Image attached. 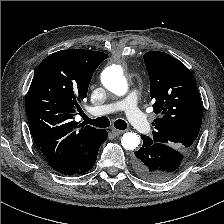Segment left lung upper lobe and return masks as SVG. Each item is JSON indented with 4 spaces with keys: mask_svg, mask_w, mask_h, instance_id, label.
Segmentation results:
<instances>
[{
    "mask_svg": "<svg viewBox=\"0 0 224 224\" xmlns=\"http://www.w3.org/2000/svg\"><path fill=\"white\" fill-rule=\"evenodd\" d=\"M144 62L150 77L154 112L153 143H162L185 155L194 147L202 122V103L191 71L179 60L164 52H147ZM178 171L169 173L173 178ZM168 179V180H169ZM167 180V181H168Z\"/></svg>",
    "mask_w": 224,
    "mask_h": 224,
    "instance_id": "left-lung-upper-lobe-1",
    "label": "left lung upper lobe"
}]
</instances>
